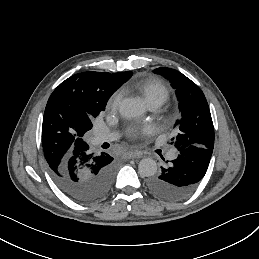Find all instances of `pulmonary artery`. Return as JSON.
Returning a JSON list of instances; mask_svg holds the SVG:
<instances>
[{
    "label": "pulmonary artery",
    "instance_id": "1",
    "mask_svg": "<svg viewBox=\"0 0 259 259\" xmlns=\"http://www.w3.org/2000/svg\"><path fill=\"white\" fill-rule=\"evenodd\" d=\"M159 107V104H156V103H152V104H149V108L151 109V110H155V109H157ZM117 136H116V134H114V133H108V134H104V135H101V134H97L96 136H95V141L97 142V143H101V142H105V141H112V140H114L115 138H116ZM176 155H177V152L176 151H169L168 153H167V159L169 160V161H172V160H174L175 158H176Z\"/></svg>",
    "mask_w": 259,
    "mask_h": 259
}]
</instances>
